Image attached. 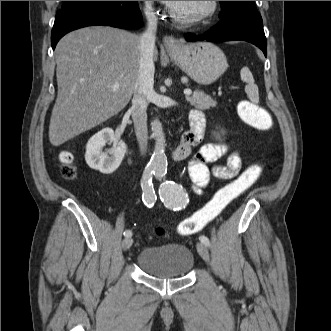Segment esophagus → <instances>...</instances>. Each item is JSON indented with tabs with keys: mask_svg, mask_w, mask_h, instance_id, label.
<instances>
[{
	"mask_svg": "<svg viewBox=\"0 0 331 331\" xmlns=\"http://www.w3.org/2000/svg\"><path fill=\"white\" fill-rule=\"evenodd\" d=\"M163 42L169 51H175L180 45L179 41L172 36H165Z\"/></svg>",
	"mask_w": 331,
	"mask_h": 331,
	"instance_id": "obj_1",
	"label": "esophagus"
}]
</instances>
